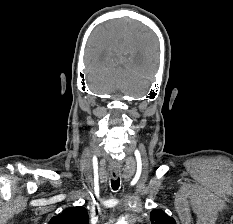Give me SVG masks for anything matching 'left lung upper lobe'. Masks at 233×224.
<instances>
[{
	"instance_id": "obj_1",
	"label": "left lung upper lobe",
	"mask_w": 233,
	"mask_h": 224,
	"mask_svg": "<svg viewBox=\"0 0 233 224\" xmlns=\"http://www.w3.org/2000/svg\"><path fill=\"white\" fill-rule=\"evenodd\" d=\"M151 222L152 224H176L172 217H169L162 210H152L151 211Z\"/></svg>"
}]
</instances>
